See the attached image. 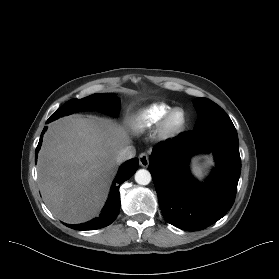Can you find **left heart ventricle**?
Segmentation results:
<instances>
[{
  "label": "left heart ventricle",
  "instance_id": "1",
  "mask_svg": "<svg viewBox=\"0 0 279 279\" xmlns=\"http://www.w3.org/2000/svg\"><path fill=\"white\" fill-rule=\"evenodd\" d=\"M181 121V114L177 113L172 117V124L177 125Z\"/></svg>",
  "mask_w": 279,
  "mask_h": 279
}]
</instances>
